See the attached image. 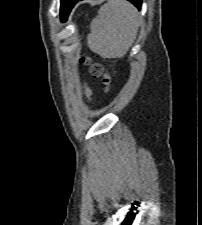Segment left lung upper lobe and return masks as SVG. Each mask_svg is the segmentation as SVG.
<instances>
[{
    "instance_id": "1",
    "label": "left lung upper lobe",
    "mask_w": 202,
    "mask_h": 225,
    "mask_svg": "<svg viewBox=\"0 0 202 225\" xmlns=\"http://www.w3.org/2000/svg\"><path fill=\"white\" fill-rule=\"evenodd\" d=\"M76 1L77 0H61L60 14L63 21L67 19Z\"/></svg>"
}]
</instances>
